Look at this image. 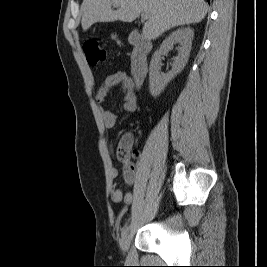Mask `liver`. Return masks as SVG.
I'll return each instance as SVG.
<instances>
[{"instance_id":"6515ba94","label":"liver","mask_w":267,"mask_h":267,"mask_svg":"<svg viewBox=\"0 0 267 267\" xmlns=\"http://www.w3.org/2000/svg\"><path fill=\"white\" fill-rule=\"evenodd\" d=\"M81 11L84 31L96 22H132L146 13L142 33L152 40L176 26L201 22L208 6L204 0H83Z\"/></svg>"}]
</instances>
